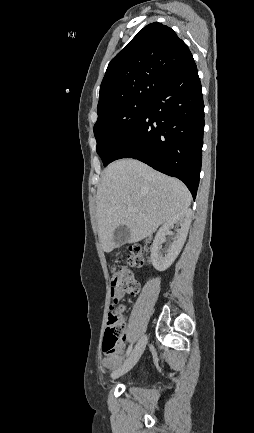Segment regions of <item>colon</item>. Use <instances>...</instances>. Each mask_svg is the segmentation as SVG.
Returning a JSON list of instances; mask_svg holds the SVG:
<instances>
[{
    "label": "colon",
    "mask_w": 254,
    "mask_h": 433,
    "mask_svg": "<svg viewBox=\"0 0 254 433\" xmlns=\"http://www.w3.org/2000/svg\"><path fill=\"white\" fill-rule=\"evenodd\" d=\"M141 261L140 248L135 247L125 256V265L113 266L111 274V309L108 314L107 327L103 350L105 354H114L123 341L124 323L121 318V308L116 299L115 292L135 294L138 291V283L134 279L131 268Z\"/></svg>",
    "instance_id": "5ec220e1"
}]
</instances>
